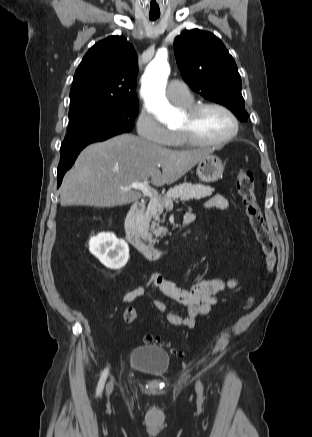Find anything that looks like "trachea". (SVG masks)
Listing matches in <instances>:
<instances>
[{
    "label": "trachea",
    "instance_id": "3493384b",
    "mask_svg": "<svg viewBox=\"0 0 312 437\" xmlns=\"http://www.w3.org/2000/svg\"><path fill=\"white\" fill-rule=\"evenodd\" d=\"M149 18L151 21H155L159 18V15H150Z\"/></svg>",
    "mask_w": 312,
    "mask_h": 437
}]
</instances>
